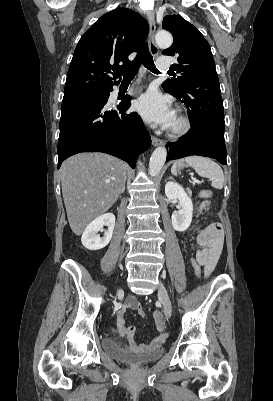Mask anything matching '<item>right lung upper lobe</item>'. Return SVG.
Masks as SVG:
<instances>
[{"instance_id": "1", "label": "right lung upper lobe", "mask_w": 273, "mask_h": 401, "mask_svg": "<svg viewBox=\"0 0 273 401\" xmlns=\"http://www.w3.org/2000/svg\"><path fill=\"white\" fill-rule=\"evenodd\" d=\"M136 12L117 8L100 17L80 38L67 73L64 97L107 91L148 35ZM114 80V81H113Z\"/></svg>"}]
</instances>
